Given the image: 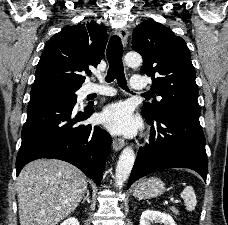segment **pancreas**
I'll list each match as a JSON object with an SVG mask.
<instances>
[{"mask_svg":"<svg viewBox=\"0 0 228 225\" xmlns=\"http://www.w3.org/2000/svg\"><path fill=\"white\" fill-rule=\"evenodd\" d=\"M170 211H172V213H175V215H179V211H177L175 207H171Z\"/></svg>","mask_w":228,"mask_h":225,"instance_id":"cf45deb5","label":"pancreas"}]
</instances>
